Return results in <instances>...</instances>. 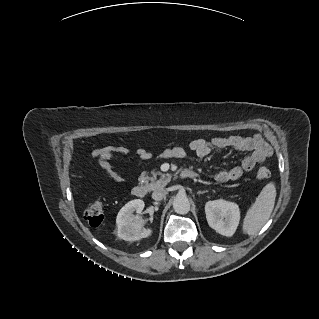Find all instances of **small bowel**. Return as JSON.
<instances>
[{
  "instance_id": "obj_1",
  "label": "small bowel",
  "mask_w": 319,
  "mask_h": 319,
  "mask_svg": "<svg viewBox=\"0 0 319 319\" xmlns=\"http://www.w3.org/2000/svg\"><path fill=\"white\" fill-rule=\"evenodd\" d=\"M189 150L197 157L205 158L214 151L233 150L248 153L239 165L227 170H221L215 175V180L220 183L240 179L245 172L252 171L255 166L265 161L269 155V149L262 140L261 136H229L218 137L211 140L194 139L189 144ZM131 149L126 144H108L96 149L93 152L103 174L113 183H123V178L113 169L111 158L115 155H128ZM136 156L142 161H148L151 153L145 148H137ZM166 158L183 159L187 156V149L181 146L166 149L163 152Z\"/></svg>"
}]
</instances>
